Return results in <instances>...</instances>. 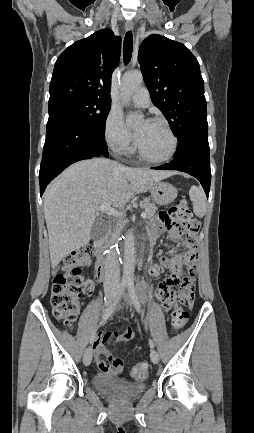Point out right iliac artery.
<instances>
[{"mask_svg": "<svg viewBox=\"0 0 254 433\" xmlns=\"http://www.w3.org/2000/svg\"><path fill=\"white\" fill-rule=\"evenodd\" d=\"M125 288H126V283H125V282H122V283H121V286H120V290H119V293H118L117 298H116V299L114 300V302L111 303V305L106 309L105 313L103 314V316H102V318H101V321H100V323H99V326L104 325V324L106 323L107 319L112 315V313H113L114 310H115L116 305L118 304V302H119V300H120V298H121V295H122L123 292L125 291ZM93 339H94V336L91 337L90 342H92Z\"/></svg>", "mask_w": 254, "mask_h": 433, "instance_id": "obj_1", "label": "right iliac artery"}]
</instances>
